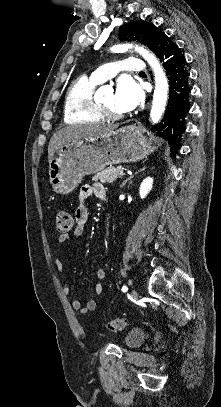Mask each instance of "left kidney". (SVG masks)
Here are the masks:
<instances>
[{"mask_svg": "<svg viewBox=\"0 0 221 407\" xmlns=\"http://www.w3.org/2000/svg\"><path fill=\"white\" fill-rule=\"evenodd\" d=\"M153 186V178L147 177L143 180L139 188V194L142 199H144L147 194L150 192Z\"/></svg>", "mask_w": 221, "mask_h": 407, "instance_id": "5707ae66", "label": "left kidney"}]
</instances>
